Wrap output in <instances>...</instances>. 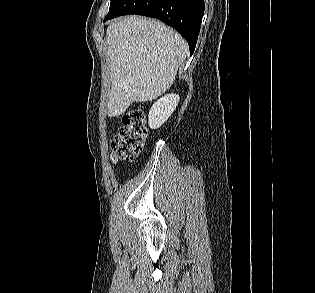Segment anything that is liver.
Wrapping results in <instances>:
<instances>
[{
  "label": "liver",
  "mask_w": 315,
  "mask_h": 293,
  "mask_svg": "<svg viewBox=\"0 0 315 293\" xmlns=\"http://www.w3.org/2000/svg\"><path fill=\"white\" fill-rule=\"evenodd\" d=\"M111 90L109 117L133 102L152 101L171 87L188 54L186 41L155 19L135 15L110 22L106 32Z\"/></svg>",
  "instance_id": "liver-1"
}]
</instances>
